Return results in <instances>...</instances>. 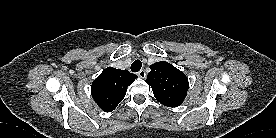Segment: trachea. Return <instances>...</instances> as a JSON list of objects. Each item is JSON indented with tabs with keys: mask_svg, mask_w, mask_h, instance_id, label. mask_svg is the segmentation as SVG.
Wrapping results in <instances>:
<instances>
[{
	"mask_svg": "<svg viewBox=\"0 0 276 138\" xmlns=\"http://www.w3.org/2000/svg\"><path fill=\"white\" fill-rule=\"evenodd\" d=\"M142 67V63L140 60H135L131 65L132 72H138Z\"/></svg>",
	"mask_w": 276,
	"mask_h": 138,
	"instance_id": "obj_1",
	"label": "trachea"
}]
</instances>
